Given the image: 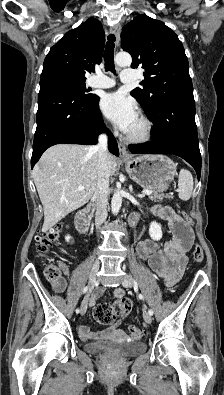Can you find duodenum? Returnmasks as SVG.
Wrapping results in <instances>:
<instances>
[{"mask_svg": "<svg viewBox=\"0 0 224 395\" xmlns=\"http://www.w3.org/2000/svg\"><path fill=\"white\" fill-rule=\"evenodd\" d=\"M92 211H93V206L88 205L83 210H81L76 216L75 225H76L78 232L81 235L85 236L88 232L89 220H90ZM134 220H135V218L132 217L131 222H133Z\"/></svg>", "mask_w": 224, "mask_h": 395, "instance_id": "410a0bca", "label": "duodenum"}]
</instances>
